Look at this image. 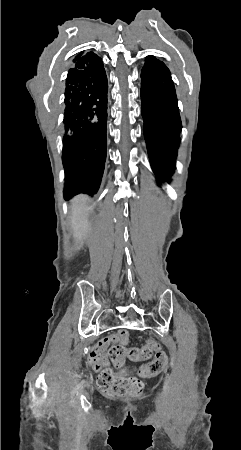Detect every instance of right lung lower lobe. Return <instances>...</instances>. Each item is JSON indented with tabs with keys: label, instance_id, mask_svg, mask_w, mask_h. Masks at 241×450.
I'll return each mask as SVG.
<instances>
[{
	"label": "right lung lower lobe",
	"instance_id": "1",
	"mask_svg": "<svg viewBox=\"0 0 241 450\" xmlns=\"http://www.w3.org/2000/svg\"><path fill=\"white\" fill-rule=\"evenodd\" d=\"M100 60L68 71L62 161L65 199L97 193L106 161L108 83Z\"/></svg>",
	"mask_w": 241,
	"mask_h": 450
}]
</instances>
